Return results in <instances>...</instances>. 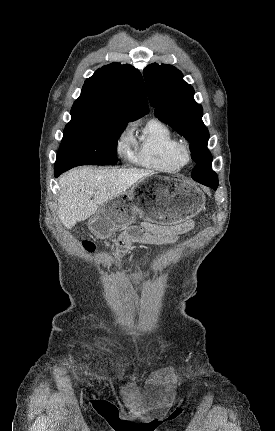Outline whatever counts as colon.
Here are the masks:
<instances>
[{"instance_id":"obj_1","label":"colon","mask_w":275,"mask_h":431,"mask_svg":"<svg viewBox=\"0 0 275 431\" xmlns=\"http://www.w3.org/2000/svg\"><path fill=\"white\" fill-rule=\"evenodd\" d=\"M83 246L87 251H93L94 250V244L90 241H85L83 243Z\"/></svg>"}]
</instances>
